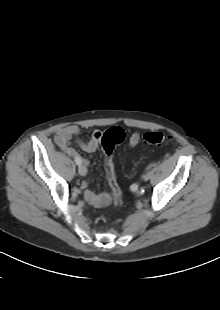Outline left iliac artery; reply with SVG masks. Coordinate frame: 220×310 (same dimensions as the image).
<instances>
[{
  "label": "left iliac artery",
  "instance_id": "44dca946",
  "mask_svg": "<svg viewBox=\"0 0 220 310\" xmlns=\"http://www.w3.org/2000/svg\"><path fill=\"white\" fill-rule=\"evenodd\" d=\"M154 166V164L149 165L146 170H150L152 167ZM139 184L138 183H134L130 186V189L132 192H136L138 190Z\"/></svg>",
  "mask_w": 220,
  "mask_h": 310
}]
</instances>
